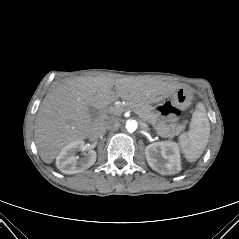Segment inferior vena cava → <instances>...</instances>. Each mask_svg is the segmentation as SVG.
I'll use <instances>...</instances> for the list:
<instances>
[{"label": "inferior vena cava", "mask_w": 239, "mask_h": 239, "mask_svg": "<svg viewBox=\"0 0 239 239\" xmlns=\"http://www.w3.org/2000/svg\"><path fill=\"white\" fill-rule=\"evenodd\" d=\"M114 121L112 119H109L107 121H104L100 125L97 126L96 128V134L98 136H102L107 129H109Z\"/></svg>", "instance_id": "1"}]
</instances>
